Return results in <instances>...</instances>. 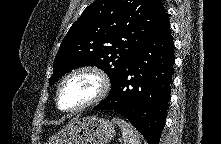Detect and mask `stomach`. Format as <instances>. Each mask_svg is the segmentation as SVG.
I'll return each instance as SVG.
<instances>
[{"label": "stomach", "mask_w": 221, "mask_h": 144, "mask_svg": "<svg viewBox=\"0 0 221 144\" xmlns=\"http://www.w3.org/2000/svg\"><path fill=\"white\" fill-rule=\"evenodd\" d=\"M115 133L113 123L105 118L76 117L49 144H107Z\"/></svg>", "instance_id": "stomach-1"}]
</instances>
